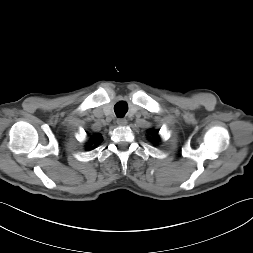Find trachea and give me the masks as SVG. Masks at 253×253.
I'll return each instance as SVG.
<instances>
[{"mask_svg": "<svg viewBox=\"0 0 253 253\" xmlns=\"http://www.w3.org/2000/svg\"><path fill=\"white\" fill-rule=\"evenodd\" d=\"M114 111L117 117H123L128 111L127 103L123 101L116 103V105L114 106Z\"/></svg>", "mask_w": 253, "mask_h": 253, "instance_id": "obj_1", "label": "trachea"}]
</instances>
